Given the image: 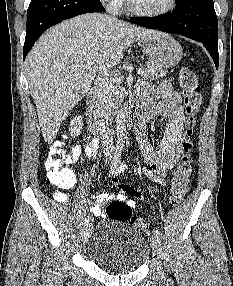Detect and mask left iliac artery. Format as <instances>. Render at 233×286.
I'll use <instances>...</instances> for the list:
<instances>
[{
	"instance_id": "obj_1",
	"label": "left iliac artery",
	"mask_w": 233,
	"mask_h": 286,
	"mask_svg": "<svg viewBox=\"0 0 233 286\" xmlns=\"http://www.w3.org/2000/svg\"><path fill=\"white\" fill-rule=\"evenodd\" d=\"M154 234L160 239L161 238V233L159 231V229L155 228L154 229Z\"/></svg>"
}]
</instances>
